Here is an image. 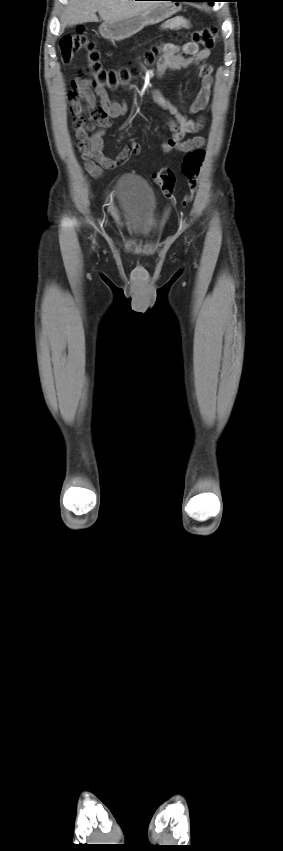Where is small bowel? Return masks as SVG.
Here are the masks:
<instances>
[{
    "instance_id": "obj_1",
    "label": "small bowel",
    "mask_w": 283,
    "mask_h": 851,
    "mask_svg": "<svg viewBox=\"0 0 283 851\" xmlns=\"http://www.w3.org/2000/svg\"><path fill=\"white\" fill-rule=\"evenodd\" d=\"M188 21L176 18L166 21L163 29H177L187 27ZM161 58L158 63L157 75L162 76L167 70L177 71L199 65V73L202 86L193 102L187 107L189 114L202 112L208 105L210 90L213 82L212 67L202 62L210 56L209 49H200L198 44L187 42L182 46L166 43L161 47ZM155 103L166 110L171 118L169 128L171 136L162 143L164 153L172 150L188 152L204 145V138L195 136L184 140L188 133H197L204 125V118L199 117L192 120L188 115L171 104L159 91L151 94ZM70 111L74 117L73 129L77 138V147L84 169L95 178L103 175L106 169H115L125 164L131 157L140 152V145L133 139L125 146L115 158H109L103 154L105 130L111 126V120L123 116L127 112V105L110 100L106 89L96 84L92 79L75 78L68 91ZM97 100L100 110H95ZM95 129L92 135H88V129Z\"/></svg>"
}]
</instances>
